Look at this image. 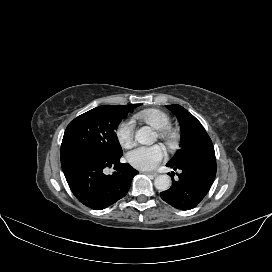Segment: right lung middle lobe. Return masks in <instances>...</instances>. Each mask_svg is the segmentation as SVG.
<instances>
[{"label":"right lung middle lobe","instance_id":"right-lung-middle-lobe-1","mask_svg":"<svg viewBox=\"0 0 272 272\" xmlns=\"http://www.w3.org/2000/svg\"><path fill=\"white\" fill-rule=\"evenodd\" d=\"M140 105H103L78 116L67 126L61 147L84 146L105 156L122 155L115 130L121 119Z\"/></svg>","mask_w":272,"mask_h":272}]
</instances>
